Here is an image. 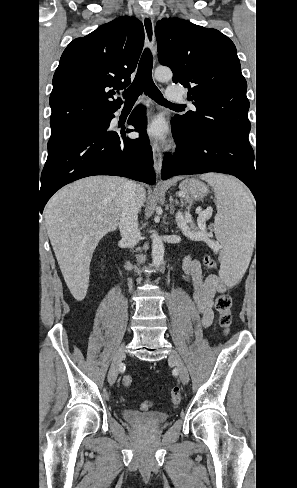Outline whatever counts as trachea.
Here are the masks:
<instances>
[{
	"mask_svg": "<svg viewBox=\"0 0 297 488\" xmlns=\"http://www.w3.org/2000/svg\"><path fill=\"white\" fill-rule=\"evenodd\" d=\"M153 57L151 51L146 48L140 59L136 77L131 86L124 91L123 97L126 99L125 104H133L138 96L145 92L152 100L160 105L168 107L182 108V105L173 104L164 99L162 93L156 87L152 79Z\"/></svg>",
	"mask_w": 297,
	"mask_h": 488,
	"instance_id": "obj_1",
	"label": "trachea"
}]
</instances>
